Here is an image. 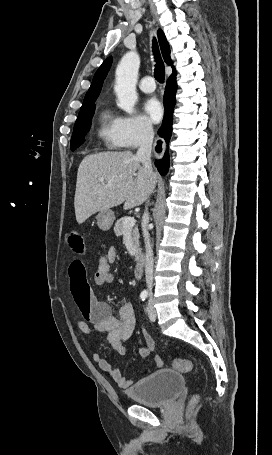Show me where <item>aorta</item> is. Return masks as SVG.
Segmentation results:
<instances>
[{
	"label": "aorta",
	"mask_w": 272,
	"mask_h": 455,
	"mask_svg": "<svg viewBox=\"0 0 272 455\" xmlns=\"http://www.w3.org/2000/svg\"><path fill=\"white\" fill-rule=\"evenodd\" d=\"M140 65L139 55L135 51L127 52L116 69L114 90L117 95V105L128 114L134 112L137 101L136 82Z\"/></svg>",
	"instance_id": "762f6f07"
}]
</instances>
